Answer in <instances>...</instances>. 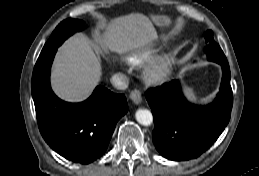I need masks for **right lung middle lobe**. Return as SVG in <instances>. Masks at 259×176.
I'll return each instance as SVG.
<instances>
[{"mask_svg":"<svg viewBox=\"0 0 259 176\" xmlns=\"http://www.w3.org/2000/svg\"><path fill=\"white\" fill-rule=\"evenodd\" d=\"M83 26L84 21L79 19H66L62 21L51 34L49 40L44 45L41 54L59 47L70 35L76 31L82 30Z\"/></svg>","mask_w":259,"mask_h":176,"instance_id":"dd1d6c3e","label":"right lung middle lobe"}]
</instances>
